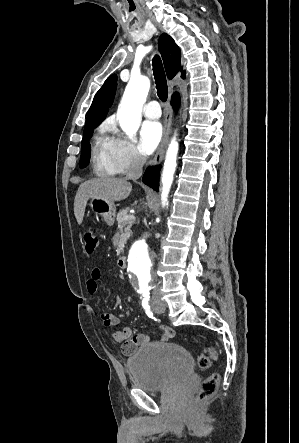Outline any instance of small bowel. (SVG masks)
<instances>
[{"label": "small bowel", "instance_id": "c3829d8e", "mask_svg": "<svg viewBox=\"0 0 299 443\" xmlns=\"http://www.w3.org/2000/svg\"><path fill=\"white\" fill-rule=\"evenodd\" d=\"M100 278L101 270L99 268H93L90 271L89 277L86 281V288L90 294L94 295L98 292V281ZM100 319L104 325L108 327H120V329L111 333V339L116 343L124 344L123 352L126 355L134 353L138 347L149 342L147 335L142 333L134 334L132 328L128 326H121V318L115 314L102 312L100 314ZM159 328L162 330V334L158 339L159 342L166 343L174 337L175 332L173 329L164 325H160Z\"/></svg>", "mask_w": 299, "mask_h": 443}]
</instances>
